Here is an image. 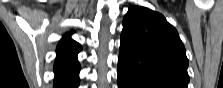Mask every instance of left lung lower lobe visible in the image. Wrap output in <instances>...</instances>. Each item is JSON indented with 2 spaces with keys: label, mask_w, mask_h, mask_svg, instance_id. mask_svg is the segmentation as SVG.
<instances>
[{
  "label": "left lung lower lobe",
  "mask_w": 223,
  "mask_h": 88,
  "mask_svg": "<svg viewBox=\"0 0 223 88\" xmlns=\"http://www.w3.org/2000/svg\"><path fill=\"white\" fill-rule=\"evenodd\" d=\"M119 88H169L165 85L149 82L136 72L118 65Z\"/></svg>",
  "instance_id": "obj_1"
}]
</instances>
